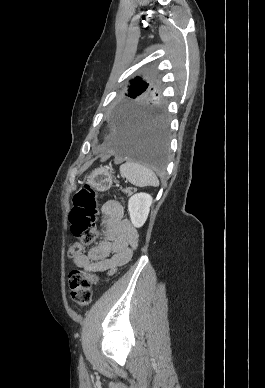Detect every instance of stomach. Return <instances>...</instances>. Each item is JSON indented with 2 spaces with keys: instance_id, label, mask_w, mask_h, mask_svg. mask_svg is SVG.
<instances>
[{
  "instance_id": "0dacf381",
  "label": "stomach",
  "mask_w": 265,
  "mask_h": 388,
  "mask_svg": "<svg viewBox=\"0 0 265 388\" xmlns=\"http://www.w3.org/2000/svg\"><path fill=\"white\" fill-rule=\"evenodd\" d=\"M88 181L94 190L106 191L112 185V171L108 168L95 169L89 176Z\"/></svg>"
}]
</instances>
